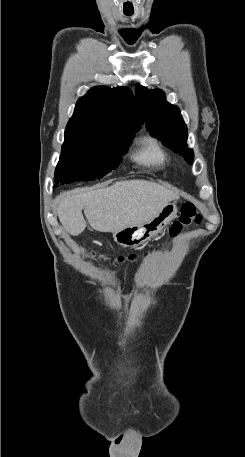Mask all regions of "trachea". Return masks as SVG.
I'll use <instances>...</instances> for the list:
<instances>
[{"mask_svg":"<svg viewBox=\"0 0 245 457\" xmlns=\"http://www.w3.org/2000/svg\"><path fill=\"white\" fill-rule=\"evenodd\" d=\"M125 15H127L128 17H130L132 15V13H125Z\"/></svg>","mask_w":245,"mask_h":457,"instance_id":"obj_1","label":"trachea"}]
</instances>
